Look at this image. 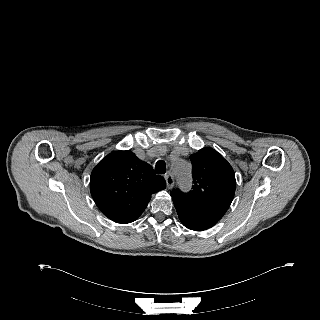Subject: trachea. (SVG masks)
<instances>
[{
	"instance_id": "1",
	"label": "trachea",
	"mask_w": 320,
	"mask_h": 320,
	"mask_svg": "<svg viewBox=\"0 0 320 320\" xmlns=\"http://www.w3.org/2000/svg\"><path fill=\"white\" fill-rule=\"evenodd\" d=\"M166 172L165 162L162 160H158L155 166V173L164 174Z\"/></svg>"
}]
</instances>
